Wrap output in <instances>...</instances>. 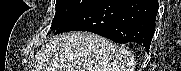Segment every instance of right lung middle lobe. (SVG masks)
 Here are the masks:
<instances>
[{
    "label": "right lung middle lobe",
    "instance_id": "right-lung-middle-lobe-1",
    "mask_svg": "<svg viewBox=\"0 0 181 71\" xmlns=\"http://www.w3.org/2000/svg\"><path fill=\"white\" fill-rule=\"evenodd\" d=\"M93 1L94 0H57L56 14L52 21L51 29L57 30Z\"/></svg>",
    "mask_w": 181,
    "mask_h": 71
}]
</instances>
